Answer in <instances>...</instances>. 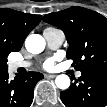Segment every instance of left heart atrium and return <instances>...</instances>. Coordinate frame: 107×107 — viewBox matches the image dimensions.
<instances>
[{
  "label": "left heart atrium",
  "instance_id": "39dd6f15",
  "mask_svg": "<svg viewBox=\"0 0 107 107\" xmlns=\"http://www.w3.org/2000/svg\"><path fill=\"white\" fill-rule=\"evenodd\" d=\"M54 61L55 59L53 58H50V59H47L44 63H43V67L45 69H52L54 67Z\"/></svg>",
  "mask_w": 107,
  "mask_h": 107
}]
</instances>
